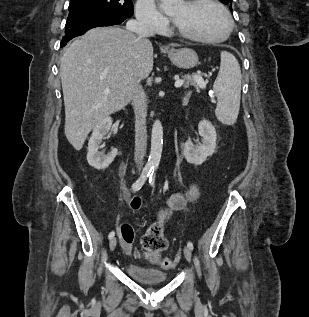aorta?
<instances>
[{
	"instance_id": "1",
	"label": "aorta",
	"mask_w": 309,
	"mask_h": 317,
	"mask_svg": "<svg viewBox=\"0 0 309 317\" xmlns=\"http://www.w3.org/2000/svg\"><path fill=\"white\" fill-rule=\"evenodd\" d=\"M181 0H161L162 8L169 11ZM163 148V127L159 120H156L152 126L151 133V150L148 158V164L152 167H157L161 160Z\"/></svg>"
}]
</instances>
